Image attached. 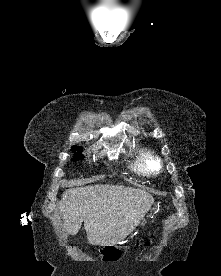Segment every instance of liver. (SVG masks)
<instances>
[{"label":"liver","mask_w":221,"mask_h":276,"mask_svg":"<svg viewBox=\"0 0 221 276\" xmlns=\"http://www.w3.org/2000/svg\"><path fill=\"white\" fill-rule=\"evenodd\" d=\"M153 202V196L141 189L90 185L66 190L60 214L69 234L76 235L84 222L90 244L114 245L133 232Z\"/></svg>","instance_id":"obj_1"}]
</instances>
